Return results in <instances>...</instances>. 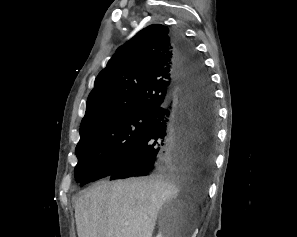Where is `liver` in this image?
Instances as JSON below:
<instances>
[{
  "mask_svg": "<svg viewBox=\"0 0 297 237\" xmlns=\"http://www.w3.org/2000/svg\"><path fill=\"white\" fill-rule=\"evenodd\" d=\"M181 174L102 181L76 202L78 237H152L162 205L180 189L193 190Z\"/></svg>",
  "mask_w": 297,
  "mask_h": 237,
  "instance_id": "liver-1",
  "label": "liver"
}]
</instances>
